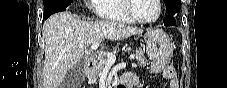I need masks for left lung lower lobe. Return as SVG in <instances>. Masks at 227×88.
<instances>
[{
    "label": "left lung lower lobe",
    "mask_w": 227,
    "mask_h": 88,
    "mask_svg": "<svg viewBox=\"0 0 227 88\" xmlns=\"http://www.w3.org/2000/svg\"><path fill=\"white\" fill-rule=\"evenodd\" d=\"M168 17L164 19V25L166 26H173L176 24L175 18L173 17L174 13H167Z\"/></svg>",
    "instance_id": "0a47b994"
}]
</instances>
